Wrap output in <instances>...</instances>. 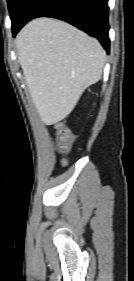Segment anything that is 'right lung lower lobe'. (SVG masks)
I'll return each instance as SVG.
<instances>
[{"instance_id":"right-lung-lower-lobe-1","label":"right lung lower lobe","mask_w":134,"mask_h":281,"mask_svg":"<svg viewBox=\"0 0 134 281\" xmlns=\"http://www.w3.org/2000/svg\"><path fill=\"white\" fill-rule=\"evenodd\" d=\"M108 15V0H30L13 36L32 19L53 17L96 37L109 52Z\"/></svg>"}]
</instances>
